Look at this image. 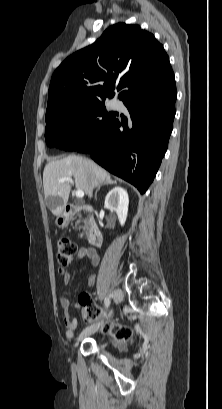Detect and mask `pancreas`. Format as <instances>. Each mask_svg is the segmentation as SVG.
Returning <instances> with one entry per match:
<instances>
[{
    "mask_svg": "<svg viewBox=\"0 0 222 409\" xmlns=\"http://www.w3.org/2000/svg\"><path fill=\"white\" fill-rule=\"evenodd\" d=\"M79 217H81V216H79ZM84 226L83 227H80V228H82L84 231L87 229V224H86V221L84 220ZM84 234L82 233L81 234V236H83Z\"/></svg>",
    "mask_w": 222,
    "mask_h": 409,
    "instance_id": "pancreas-1",
    "label": "pancreas"
}]
</instances>
